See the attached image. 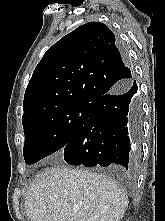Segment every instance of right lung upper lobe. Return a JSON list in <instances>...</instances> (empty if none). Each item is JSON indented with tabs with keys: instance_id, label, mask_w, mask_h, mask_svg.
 <instances>
[{
	"instance_id": "obj_1",
	"label": "right lung upper lobe",
	"mask_w": 165,
	"mask_h": 221,
	"mask_svg": "<svg viewBox=\"0 0 165 221\" xmlns=\"http://www.w3.org/2000/svg\"><path fill=\"white\" fill-rule=\"evenodd\" d=\"M131 80L114 33L103 23L88 22L44 54L27 86L22 120L59 106L92 104Z\"/></svg>"
}]
</instances>
